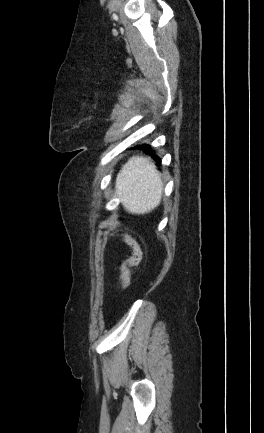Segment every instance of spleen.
Returning a JSON list of instances; mask_svg holds the SVG:
<instances>
[{
  "instance_id": "spleen-1",
  "label": "spleen",
  "mask_w": 264,
  "mask_h": 433,
  "mask_svg": "<svg viewBox=\"0 0 264 433\" xmlns=\"http://www.w3.org/2000/svg\"><path fill=\"white\" fill-rule=\"evenodd\" d=\"M116 195L132 214H145L156 208L163 194L159 171L149 158L134 156L122 167L115 183Z\"/></svg>"
}]
</instances>
